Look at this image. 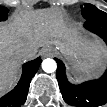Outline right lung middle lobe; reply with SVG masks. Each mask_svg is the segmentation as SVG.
<instances>
[{
  "label": "right lung middle lobe",
  "instance_id": "right-lung-middle-lobe-1",
  "mask_svg": "<svg viewBox=\"0 0 107 107\" xmlns=\"http://www.w3.org/2000/svg\"><path fill=\"white\" fill-rule=\"evenodd\" d=\"M7 12H8V9L5 8V7H0V20L1 21H4L7 19Z\"/></svg>",
  "mask_w": 107,
  "mask_h": 107
}]
</instances>
